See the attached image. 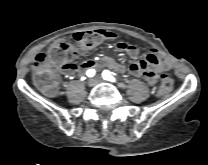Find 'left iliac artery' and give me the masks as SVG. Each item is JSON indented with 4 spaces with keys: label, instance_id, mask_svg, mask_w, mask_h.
Wrapping results in <instances>:
<instances>
[{
    "label": "left iliac artery",
    "instance_id": "left-iliac-artery-1",
    "mask_svg": "<svg viewBox=\"0 0 208 165\" xmlns=\"http://www.w3.org/2000/svg\"><path fill=\"white\" fill-rule=\"evenodd\" d=\"M102 77H103L105 80H108V81H112V82L115 81V78L110 74V72H109L108 70H104V71H103Z\"/></svg>",
    "mask_w": 208,
    "mask_h": 165
}]
</instances>
